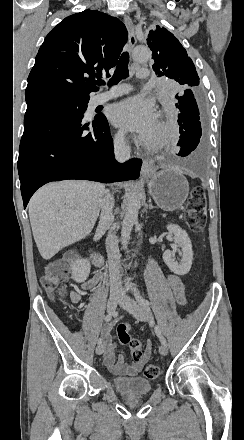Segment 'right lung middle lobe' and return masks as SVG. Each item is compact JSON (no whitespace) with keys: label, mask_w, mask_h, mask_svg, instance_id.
Wrapping results in <instances>:
<instances>
[{"label":"right lung middle lobe","mask_w":244,"mask_h":440,"mask_svg":"<svg viewBox=\"0 0 244 440\" xmlns=\"http://www.w3.org/2000/svg\"><path fill=\"white\" fill-rule=\"evenodd\" d=\"M27 107L34 105L54 106L72 112H85L89 98L34 97L26 99Z\"/></svg>","instance_id":"1"}]
</instances>
